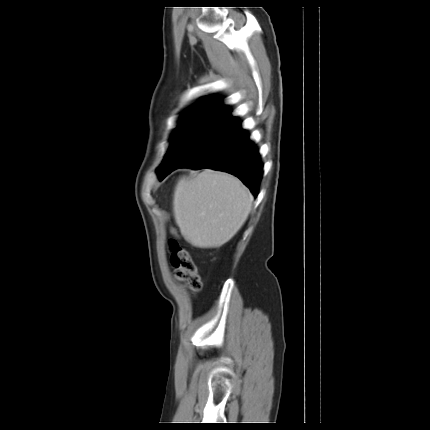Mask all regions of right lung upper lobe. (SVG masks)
<instances>
[{
  "label": "right lung upper lobe",
  "mask_w": 430,
  "mask_h": 430,
  "mask_svg": "<svg viewBox=\"0 0 430 430\" xmlns=\"http://www.w3.org/2000/svg\"><path fill=\"white\" fill-rule=\"evenodd\" d=\"M207 106H220L225 107L221 104V101L219 99H215L213 97L205 98L204 100L196 103L193 105L190 109L200 108V107H207Z\"/></svg>",
  "instance_id": "right-lung-upper-lobe-1"
}]
</instances>
